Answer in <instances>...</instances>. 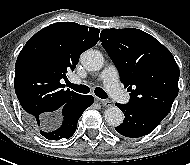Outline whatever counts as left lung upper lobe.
<instances>
[{
	"mask_svg": "<svg viewBox=\"0 0 190 165\" xmlns=\"http://www.w3.org/2000/svg\"><path fill=\"white\" fill-rule=\"evenodd\" d=\"M100 40L130 92L128 103L169 113L179 80V68L170 51L134 28L104 29Z\"/></svg>",
	"mask_w": 190,
	"mask_h": 165,
	"instance_id": "obj_1",
	"label": "left lung upper lobe"
}]
</instances>
